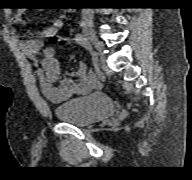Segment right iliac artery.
<instances>
[{
    "mask_svg": "<svg viewBox=\"0 0 192 180\" xmlns=\"http://www.w3.org/2000/svg\"><path fill=\"white\" fill-rule=\"evenodd\" d=\"M75 41L81 45L82 47L86 48L87 50H90V43L88 41V39L86 38L85 35L81 34V33H77L75 36Z\"/></svg>",
    "mask_w": 192,
    "mask_h": 180,
    "instance_id": "1",
    "label": "right iliac artery"
}]
</instances>
